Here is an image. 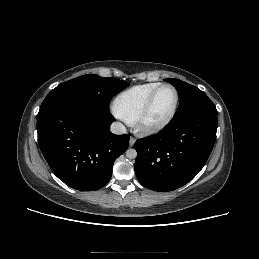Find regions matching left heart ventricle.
I'll return each instance as SVG.
<instances>
[{
	"label": "left heart ventricle",
	"mask_w": 259,
	"mask_h": 259,
	"mask_svg": "<svg viewBox=\"0 0 259 259\" xmlns=\"http://www.w3.org/2000/svg\"><path fill=\"white\" fill-rule=\"evenodd\" d=\"M174 101L175 94L172 89H161L154 100L149 120L157 122L167 116L173 107Z\"/></svg>",
	"instance_id": "b2bd125f"
}]
</instances>
